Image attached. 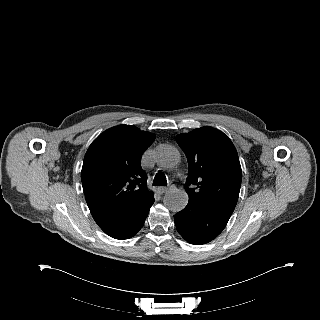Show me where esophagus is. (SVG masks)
<instances>
[{
    "instance_id": "34e87169",
    "label": "esophagus",
    "mask_w": 320,
    "mask_h": 320,
    "mask_svg": "<svg viewBox=\"0 0 320 320\" xmlns=\"http://www.w3.org/2000/svg\"><path fill=\"white\" fill-rule=\"evenodd\" d=\"M172 188H173V185H172V186H167V187H160V190H161L163 193H165V192L171 190Z\"/></svg>"
}]
</instances>
